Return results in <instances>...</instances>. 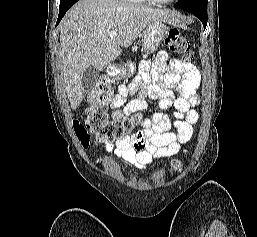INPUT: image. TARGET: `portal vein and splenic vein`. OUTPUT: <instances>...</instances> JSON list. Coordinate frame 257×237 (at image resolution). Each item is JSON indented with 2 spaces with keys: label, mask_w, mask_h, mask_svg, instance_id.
<instances>
[{
  "label": "portal vein and splenic vein",
  "mask_w": 257,
  "mask_h": 237,
  "mask_svg": "<svg viewBox=\"0 0 257 237\" xmlns=\"http://www.w3.org/2000/svg\"><path fill=\"white\" fill-rule=\"evenodd\" d=\"M116 36H117V31H111L110 33H109V37L111 38V39H114V38H116Z\"/></svg>",
  "instance_id": "portal-vein-and-splenic-vein-1"
}]
</instances>
